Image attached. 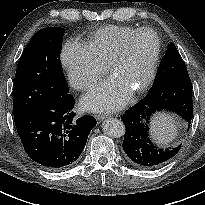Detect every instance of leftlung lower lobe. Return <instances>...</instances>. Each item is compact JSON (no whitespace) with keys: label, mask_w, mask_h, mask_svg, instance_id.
<instances>
[{"label":"left lung lower lobe","mask_w":205,"mask_h":205,"mask_svg":"<svg viewBox=\"0 0 205 205\" xmlns=\"http://www.w3.org/2000/svg\"><path fill=\"white\" fill-rule=\"evenodd\" d=\"M192 88L189 76L154 84L143 100L121 116L126 127L123 149L134 165L154 168L178 153L181 144L169 149L156 147L149 138V124L154 114L173 112L190 126L193 117Z\"/></svg>","instance_id":"0a47b994"}]
</instances>
